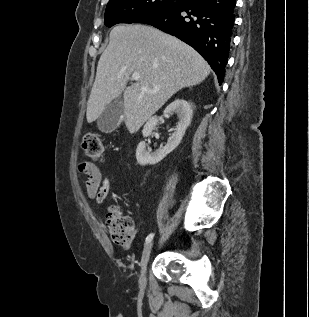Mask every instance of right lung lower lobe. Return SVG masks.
Returning <instances> with one entry per match:
<instances>
[{"mask_svg": "<svg viewBox=\"0 0 309 317\" xmlns=\"http://www.w3.org/2000/svg\"><path fill=\"white\" fill-rule=\"evenodd\" d=\"M235 0H187L137 19L192 46L210 64L221 84L235 21Z\"/></svg>", "mask_w": 309, "mask_h": 317, "instance_id": "obj_1", "label": "right lung lower lobe"}]
</instances>
